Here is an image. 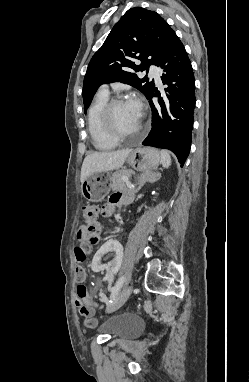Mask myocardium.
Returning a JSON list of instances; mask_svg holds the SVG:
<instances>
[{
	"label": "myocardium",
	"mask_w": 249,
	"mask_h": 382,
	"mask_svg": "<svg viewBox=\"0 0 249 382\" xmlns=\"http://www.w3.org/2000/svg\"><path fill=\"white\" fill-rule=\"evenodd\" d=\"M126 100L122 97H114L109 99L106 104L104 105L102 112H101V123L102 127L104 129V132L106 133L107 136H109L111 139L115 141H121L124 139L132 138L134 136H137L141 133L143 130V122L140 120L139 126L136 129L135 132L133 133H128V134H123L119 132L113 124L112 121V111L113 108L120 104L125 102Z\"/></svg>",
	"instance_id": "myocardium-1"
}]
</instances>
